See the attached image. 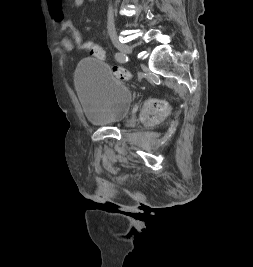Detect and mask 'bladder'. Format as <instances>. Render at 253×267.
I'll use <instances>...</instances> for the list:
<instances>
[{
	"mask_svg": "<svg viewBox=\"0 0 253 267\" xmlns=\"http://www.w3.org/2000/svg\"><path fill=\"white\" fill-rule=\"evenodd\" d=\"M75 85L84 116L94 125L115 123L132 102L128 86L97 58H87L79 64Z\"/></svg>",
	"mask_w": 253,
	"mask_h": 267,
	"instance_id": "obj_1",
	"label": "bladder"
}]
</instances>
